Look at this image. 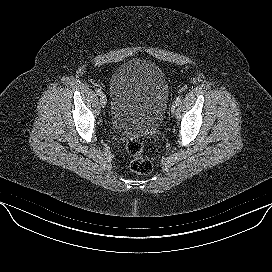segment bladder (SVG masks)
<instances>
[{
    "label": "bladder",
    "instance_id": "bladder-1",
    "mask_svg": "<svg viewBox=\"0 0 272 272\" xmlns=\"http://www.w3.org/2000/svg\"><path fill=\"white\" fill-rule=\"evenodd\" d=\"M110 123L127 137H144L161 124L169 101L162 69L153 62L132 59L120 65L110 81Z\"/></svg>",
    "mask_w": 272,
    "mask_h": 272
}]
</instances>
